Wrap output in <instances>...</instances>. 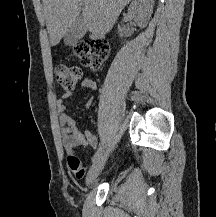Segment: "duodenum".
<instances>
[{
  "label": "duodenum",
  "mask_w": 216,
  "mask_h": 217,
  "mask_svg": "<svg viewBox=\"0 0 216 217\" xmlns=\"http://www.w3.org/2000/svg\"><path fill=\"white\" fill-rule=\"evenodd\" d=\"M94 37H101V36H100V35H98V34H95V35H94Z\"/></svg>",
  "instance_id": "1"
}]
</instances>
